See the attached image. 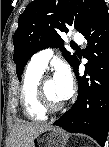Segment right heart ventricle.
<instances>
[{
	"label": "right heart ventricle",
	"mask_w": 109,
	"mask_h": 147,
	"mask_svg": "<svg viewBox=\"0 0 109 147\" xmlns=\"http://www.w3.org/2000/svg\"><path fill=\"white\" fill-rule=\"evenodd\" d=\"M43 71L28 66L24 72L20 98L24 114L33 121H42L47 117L37 101V85L42 77Z\"/></svg>",
	"instance_id": "e07e8e85"
}]
</instances>
